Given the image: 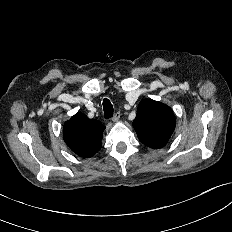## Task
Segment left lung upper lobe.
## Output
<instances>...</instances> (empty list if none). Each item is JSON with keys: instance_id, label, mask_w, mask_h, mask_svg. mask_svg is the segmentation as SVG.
<instances>
[{"instance_id": "5c2ea615", "label": "left lung upper lobe", "mask_w": 232, "mask_h": 232, "mask_svg": "<svg viewBox=\"0 0 232 232\" xmlns=\"http://www.w3.org/2000/svg\"><path fill=\"white\" fill-rule=\"evenodd\" d=\"M175 115L171 108L154 100L139 103L133 127L139 141L148 147H164L175 129Z\"/></svg>"}]
</instances>
